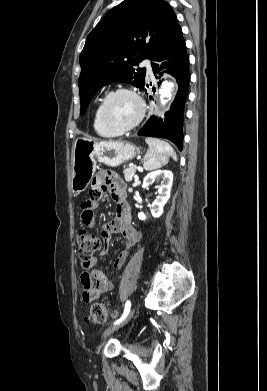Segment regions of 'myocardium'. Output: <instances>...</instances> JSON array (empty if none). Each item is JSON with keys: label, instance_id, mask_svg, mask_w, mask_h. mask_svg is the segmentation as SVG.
Here are the masks:
<instances>
[{"label": "myocardium", "instance_id": "obj_1", "mask_svg": "<svg viewBox=\"0 0 267 391\" xmlns=\"http://www.w3.org/2000/svg\"><path fill=\"white\" fill-rule=\"evenodd\" d=\"M121 93H127V94H130L131 96H133L136 101L138 102V105H139V113L136 117V119L128 126H117V125H114L107 117V114H106V107H107V104L109 102V100L117 95V94H121ZM145 113H146V104L143 100V98L140 96V94L132 89V88H128V87H118L116 89H113L111 90L105 97L104 99L102 100L101 104H100V118L103 122V124L110 130L114 131V132H117V133H126V132H129L131 130H133L134 128H136L140 123L141 121L143 120L144 116H145Z\"/></svg>", "mask_w": 267, "mask_h": 391}]
</instances>
